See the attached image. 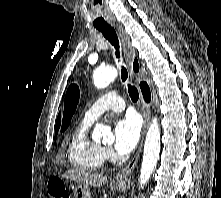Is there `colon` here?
I'll return each mask as SVG.
<instances>
[{
    "label": "colon",
    "mask_w": 221,
    "mask_h": 198,
    "mask_svg": "<svg viewBox=\"0 0 221 198\" xmlns=\"http://www.w3.org/2000/svg\"><path fill=\"white\" fill-rule=\"evenodd\" d=\"M49 198H69L63 181L59 178H52L48 182Z\"/></svg>",
    "instance_id": "obj_1"
}]
</instances>
